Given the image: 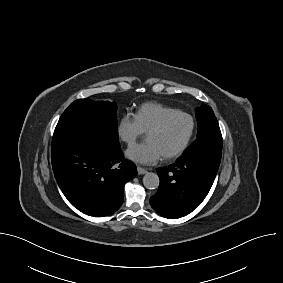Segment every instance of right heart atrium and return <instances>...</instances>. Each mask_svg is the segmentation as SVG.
<instances>
[{"instance_id": "right-heart-atrium-1", "label": "right heart atrium", "mask_w": 283, "mask_h": 283, "mask_svg": "<svg viewBox=\"0 0 283 283\" xmlns=\"http://www.w3.org/2000/svg\"><path fill=\"white\" fill-rule=\"evenodd\" d=\"M117 133L121 141L127 145H132L145 132L141 128L136 115L128 112L118 120Z\"/></svg>"}]
</instances>
